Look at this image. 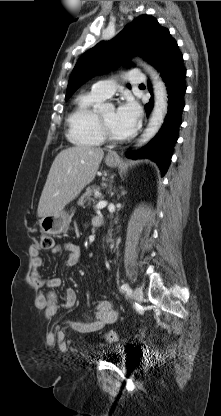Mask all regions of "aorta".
<instances>
[{
	"instance_id": "aorta-1",
	"label": "aorta",
	"mask_w": 221,
	"mask_h": 416,
	"mask_svg": "<svg viewBox=\"0 0 221 416\" xmlns=\"http://www.w3.org/2000/svg\"><path fill=\"white\" fill-rule=\"evenodd\" d=\"M140 64L144 67L152 80L154 90V108L150 121L143 134L141 135V138L139 139L136 147H142L157 134L164 122V118L168 110L167 90L165 83L159 77L153 67L143 63L142 61Z\"/></svg>"
}]
</instances>
